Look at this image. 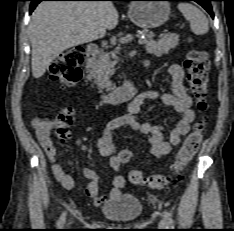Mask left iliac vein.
<instances>
[{
    "instance_id": "obj_1",
    "label": "left iliac vein",
    "mask_w": 234,
    "mask_h": 231,
    "mask_svg": "<svg viewBox=\"0 0 234 231\" xmlns=\"http://www.w3.org/2000/svg\"><path fill=\"white\" fill-rule=\"evenodd\" d=\"M159 226H160L161 228H165V227H166V221H165L164 219L161 220L160 223H159Z\"/></svg>"
}]
</instances>
